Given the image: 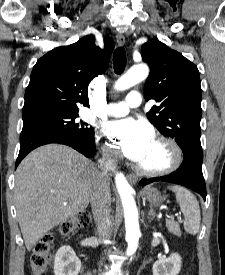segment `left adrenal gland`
I'll list each match as a JSON object with an SVG mask.
<instances>
[{
	"label": "left adrenal gland",
	"mask_w": 225,
	"mask_h": 275,
	"mask_svg": "<svg viewBox=\"0 0 225 275\" xmlns=\"http://www.w3.org/2000/svg\"><path fill=\"white\" fill-rule=\"evenodd\" d=\"M156 217V213L155 211L153 210V208L151 207L150 208V211L148 213V218H155Z\"/></svg>",
	"instance_id": "obj_1"
}]
</instances>
